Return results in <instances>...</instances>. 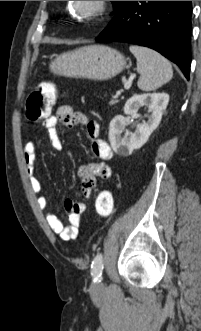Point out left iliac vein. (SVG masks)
I'll use <instances>...</instances> for the list:
<instances>
[{"label":"left iliac vein","mask_w":201,"mask_h":331,"mask_svg":"<svg viewBox=\"0 0 201 331\" xmlns=\"http://www.w3.org/2000/svg\"><path fill=\"white\" fill-rule=\"evenodd\" d=\"M102 285L103 284L99 281V282L93 284L92 285V288L95 289V290H97V289H100L102 287Z\"/></svg>","instance_id":"4c4485c4"}]
</instances>
